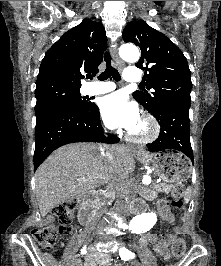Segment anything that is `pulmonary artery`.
Returning a JSON list of instances; mask_svg holds the SVG:
<instances>
[{
	"mask_svg": "<svg viewBox=\"0 0 221 266\" xmlns=\"http://www.w3.org/2000/svg\"><path fill=\"white\" fill-rule=\"evenodd\" d=\"M143 78V72L140 68L136 66H129L124 73V79L127 82L138 83ZM115 88V85L110 82L99 83L94 87H91L87 90L90 95H99L112 91Z\"/></svg>",
	"mask_w": 221,
	"mask_h": 266,
	"instance_id": "1",
	"label": "pulmonary artery"
}]
</instances>
